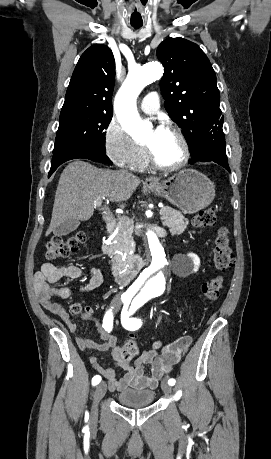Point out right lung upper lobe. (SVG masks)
I'll list each match as a JSON object with an SVG mask.
<instances>
[{
	"label": "right lung upper lobe",
	"mask_w": 271,
	"mask_h": 459,
	"mask_svg": "<svg viewBox=\"0 0 271 459\" xmlns=\"http://www.w3.org/2000/svg\"><path fill=\"white\" fill-rule=\"evenodd\" d=\"M114 80L115 60L111 49L102 44L89 47L75 67L61 113L113 114Z\"/></svg>",
	"instance_id": "1"
}]
</instances>
